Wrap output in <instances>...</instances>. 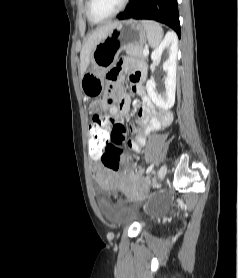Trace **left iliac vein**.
Segmentation results:
<instances>
[{"instance_id":"left-iliac-vein-1","label":"left iliac vein","mask_w":238,"mask_h":278,"mask_svg":"<svg viewBox=\"0 0 238 278\" xmlns=\"http://www.w3.org/2000/svg\"><path fill=\"white\" fill-rule=\"evenodd\" d=\"M166 173H167V165L164 164L161 166V168L158 171V179L157 181L154 182V187H157L159 185V181L165 177Z\"/></svg>"}]
</instances>
